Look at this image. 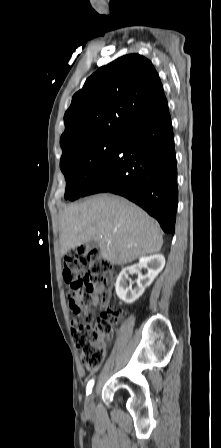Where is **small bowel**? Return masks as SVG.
<instances>
[{"label":"small bowel","mask_w":221,"mask_h":448,"mask_svg":"<svg viewBox=\"0 0 221 448\" xmlns=\"http://www.w3.org/2000/svg\"><path fill=\"white\" fill-rule=\"evenodd\" d=\"M100 293L102 294V299L100 300L98 295H93V297L91 299V306L92 307L99 306L101 309H106L107 306L109 305V300H110L109 292L107 290L106 291L104 290V291H101ZM77 322H78V320L74 319L72 321V324L76 325Z\"/></svg>","instance_id":"obj_1"}]
</instances>
